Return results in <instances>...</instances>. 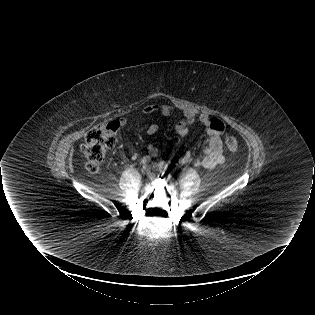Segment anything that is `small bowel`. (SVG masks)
Returning <instances> with one entry per match:
<instances>
[{
  "label": "small bowel",
  "instance_id": "1",
  "mask_svg": "<svg viewBox=\"0 0 315 315\" xmlns=\"http://www.w3.org/2000/svg\"><path fill=\"white\" fill-rule=\"evenodd\" d=\"M142 112L145 115L158 113L162 116H170L173 113V108L167 104H155L144 107ZM116 122L119 123L120 128H124L127 125L126 119L117 120ZM196 122L200 123L208 134L203 152L201 155H194L191 150H187L179 157V161L182 164H193L206 169H214L225 162L221 140L224 123L220 119L211 118L207 114H201L196 117L193 113L185 111L183 119L174 126V131L180 136H186L190 132L191 126ZM158 130V124L152 123L148 126L146 133L149 136H153ZM148 152L151 156L157 157L159 149L154 144H149Z\"/></svg>",
  "mask_w": 315,
  "mask_h": 315
}]
</instances>
